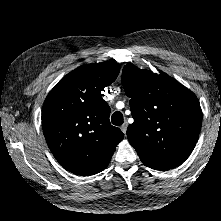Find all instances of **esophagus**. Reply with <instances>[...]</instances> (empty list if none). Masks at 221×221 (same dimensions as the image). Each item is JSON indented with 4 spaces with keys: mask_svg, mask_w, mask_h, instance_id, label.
Returning <instances> with one entry per match:
<instances>
[{
    "mask_svg": "<svg viewBox=\"0 0 221 221\" xmlns=\"http://www.w3.org/2000/svg\"><path fill=\"white\" fill-rule=\"evenodd\" d=\"M127 126H128L127 122H124V124L120 127L121 131L124 134H126Z\"/></svg>",
    "mask_w": 221,
    "mask_h": 221,
    "instance_id": "34e87169",
    "label": "esophagus"
}]
</instances>
